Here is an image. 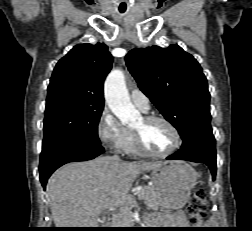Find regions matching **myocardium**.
<instances>
[{
    "instance_id": "myocardium-1",
    "label": "myocardium",
    "mask_w": 252,
    "mask_h": 231,
    "mask_svg": "<svg viewBox=\"0 0 252 231\" xmlns=\"http://www.w3.org/2000/svg\"><path fill=\"white\" fill-rule=\"evenodd\" d=\"M142 119L145 124H150V123L156 122V121H159V122L166 124L173 133L174 144L168 151H166L164 153L152 152L151 150H149L145 146L143 138H142V134L140 132L132 129L131 133H132V137H133V142H134V145L139 153H141L145 156H149V157L165 158V157H168V156L174 154L180 148L181 143H182L180 132L177 129V127L170 120H168L167 118H165L163 116H159V115H146Z\"/></svg>"
}]
</instances>
